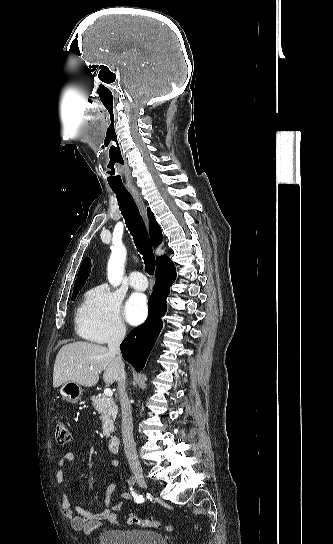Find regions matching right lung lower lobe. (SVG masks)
Segmentation results:
<instances>
[{"label":"right lung lower lobe","mask_w":333,"mask_h":544,"mask_svg":"<svg viewBox=\"0 0 333 544\" xmlns=\"http://www.w3.org/2000/svg\"><path fill=\"white\" fill-rule=\"evenodd\" d=\"M176 278L175 266L166 265L156 272V283L149 298L147 320L137 327L120 345L123 358L141 371L161 331V317L167 309L166 298Z\"/></svg>","instance_id":"98d812e1"}]
</instances>
